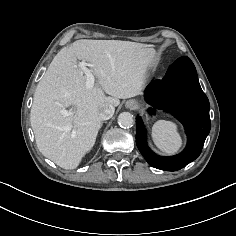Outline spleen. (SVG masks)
<instances>
[{
    "label": "spleen",
    "mask_w": 236,
    "mask_h": 236,
    "mask_svg": "<svg viewBox=\"0 0 236 236\" xmlns=\"http://www.w3.org/2000/svg\"><path fill=\"white\" fill-rule=\"evenodd\" d=\"M151 136L156 147L167 154H175L182 146L177 125L171 121H157L153 125Z\"/></svg>",
    "instance_id": "1"
}]
</instances>
